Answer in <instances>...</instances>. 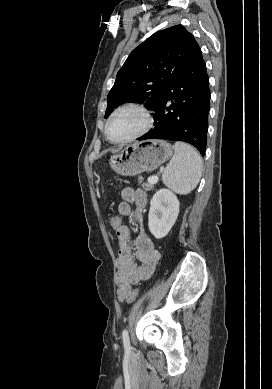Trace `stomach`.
Returning a JSON list of instances; mask_svg holds the SVG:
<instances>
[{
    "label": "stomach",
    "mask_w": 272,
    "mask_h": 389,
    "mask_svg": "<svg viewBox=\"0 0 272 389\" xmlns=\"http://www.w3.org/2000/svg\"><path fill=\"white\" fill-rule=\"evenodd\" d=\"M173 147L166 141L151 139L134 143L111 156L110 166L119 175L135 176L153 171L169 160Z\"/></svg>",
    "instance_id": "0dacf381"
}]
</instances>
